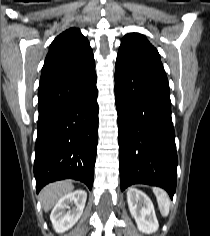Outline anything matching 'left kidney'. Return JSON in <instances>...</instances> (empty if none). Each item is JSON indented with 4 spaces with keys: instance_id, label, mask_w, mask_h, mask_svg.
Here are the masks:
<instances>
[{
    "instance_id": "left-kidney-1",
    "label": "left kidney",
    "mask_w": 210,
    "mask_h": 236,
    "mask_svg": "<svg viewBox=\"0 0 210 236\" xmlns=\"http://www.w3.org/2000/svg\"><path fill=\"white\" fill-rule=\"evenodd\" d=\"M127 202L139 231L153 233L158 230L159 224L153 203L145 193L136 188H130L127 192Z\"/></svg>"
}]
</instances>
